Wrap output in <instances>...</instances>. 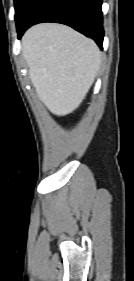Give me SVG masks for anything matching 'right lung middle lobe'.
Returning a JSON list of instances; mask_svg holds the SVG:
<instances>
[{"mask_svg":"<svg viewBox=\"0 0 134 281\" xmlns=\"http://www.w3.org/2000/svg\"><path fill=\"white\" fill-rule=\"evenodd\" d=\"M33 0H15V20L17 27L22 23Z\"/></svg>","mask_w":134,"mask_h":281,"instance_id":"dd1d6c3e","label":"right lung middle lobe"}]
</instances>
